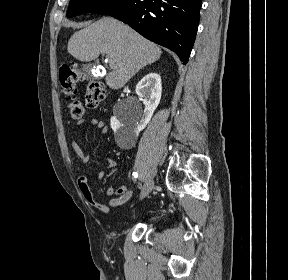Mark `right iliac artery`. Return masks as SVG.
Instances as JSON below:
<instances>
[{"label": "right iliac artery", "instance_id": "1", "mask_svg": "<svg viewBox=\"0 0 288 280\" xmlns=\"http://www.w3.org/2000/svg\"><path fill=\"white\" fill-rule=\"evenodd\" d=\"M133 180H135L138 177V174L136 172H133Z\"/></svg>", "mask_w": 288, "mask_h": 280}]
</instances>
